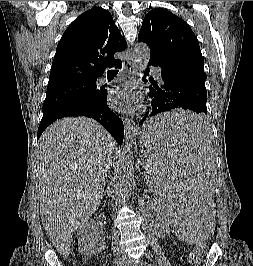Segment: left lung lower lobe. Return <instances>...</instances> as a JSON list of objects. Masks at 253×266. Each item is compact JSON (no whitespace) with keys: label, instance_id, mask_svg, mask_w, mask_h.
<instances>
[{"label":"left lung lower lobe","instance_id":"0a47b994","mask_svg":"<svg viewBox=\"0 0 253 266\" xmlns=\"http://www.w3.org/2000/svg\"><path fill=\"white\" fill-rule=\"evenodd\" d=\"M149 65L162 68L161 76L164 84L158 86L152 83L149 86V96L152 98V112L150 116L176 110L189 109L200 113L202 118L188 121L183 125H157L151 128L156 135L187 134L199 136L206 132L207 123L204 114H207V92L204 68L182 58L150 57ZM148 76V71L145 72ZM143 81L147 82L146 78ZM144 117L139 124L145 121Z\"/></svg>","mask_w":253,"mask_h":266}]
</instances>
